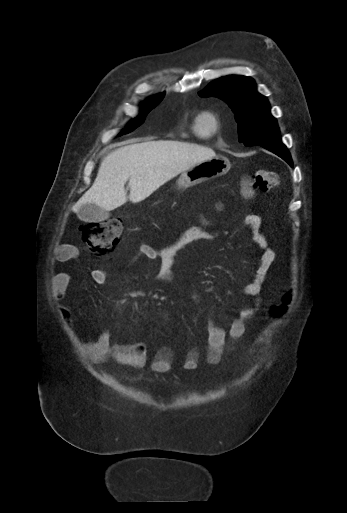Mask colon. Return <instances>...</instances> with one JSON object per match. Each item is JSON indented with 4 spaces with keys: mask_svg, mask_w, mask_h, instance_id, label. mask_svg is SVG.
Returning <instances> with one entry per match:
<instances>
[{
    "mask_svg": "<svg viewBox=\"0 0 347 513\" xmlns=\"http://www.w3.org/2000/svg\"><path fill=\"white\" fill-rule=\"evenodd\" d=\"M278 184V174L274 171L259 170L247 176L242 182V194L249 198L255 192L265 194ZM123 223L118 218H111L101 222L83 224L80 228L83 241L97 255L112 253L120 245L123 235ZM74 254V251L73 253ZM292 294L286 291L282 294L281 303L274 306L277 313L286 310L291 301Z\"/></svg>",
    "mask_w": 347,
    "mask_h": 513,
    "instance_id": "5ec220e1",
    "label": "colon"
}]
</instances>
